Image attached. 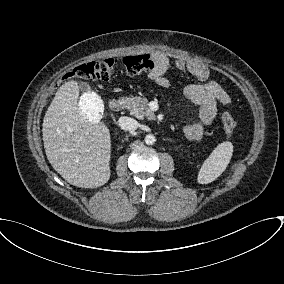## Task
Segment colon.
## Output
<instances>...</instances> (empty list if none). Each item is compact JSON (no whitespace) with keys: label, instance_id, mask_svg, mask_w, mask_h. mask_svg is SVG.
Returning a JSON list of instances; mask_svg holds the SVG:
<instances>
[{"label":"colon","instance_id":"1","mask_svg":"<svg viewBox=\"0 0 284 284\" xmlns=\"http://www.w3.org/2000/svg\"><path fill=\"white\" fill-rule=\"evenodd\" d=\"M118 66H121L129 75H140L151 71L154 62L149 55H129L121 59L95 60L75 67L64 78L107 81L115 75ZM222 123L227 135L231 136L236 128V122L230 112L222 113Z\"/></svg>","mask_w":284,"mask_h":284}]
</instances>
